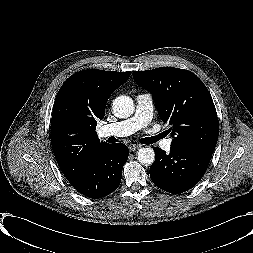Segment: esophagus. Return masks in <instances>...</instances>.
<instances>
[{
  "mask_svg": "<svg viewBox=\"0 0 253 253\" xmlns=\"http://www.w3.org/2000/svg\"><path fill=\"white\" fill-rule=\"evenodd\" d=\"M140 148V145H138V144H130L129 145V150L131 151V152H134V151H136L137 149H139Z\"/></svg>",
  "mask_w": 253,
  "mask_h": 253,
  "instance_id": "34e87169",
  "label": "esophagus"
}]
</instances>
